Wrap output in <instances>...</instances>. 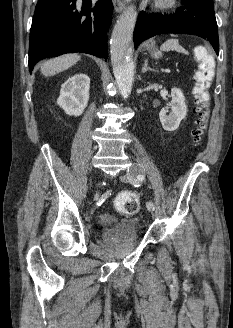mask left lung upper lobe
Instances as JSON below:
<instances>
[{
	"mask_svg": "<svg viewBox=\"0 0 233 328\" xmlns=\"http://www.w3.org/2000/svg\"><path fill=\"white\" fill-rule=\"evenodd\" d=\"M202 1H204V2H206V3H208V4L212 5V6H214L213 5V0H202Z\"/></svg>",
	"mask_w": 233,
	"mask_h": 328,
	"instance_id": "1",
	"label": "left lung upper lobe"
}]
</instances>
